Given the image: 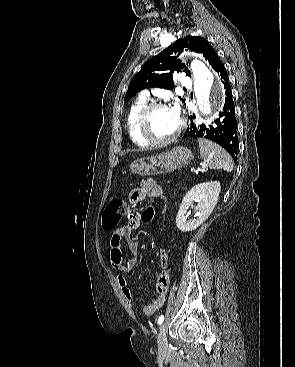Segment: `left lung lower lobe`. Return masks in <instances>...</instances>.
Returning <instances> with one entry per match:
<instances>
[{
    "label": "left lung lower lobe",
    "mask_w": 295,
    "mask_h": 367,
    "mask_svg": "<svg viewBox=\"0 0 295 367\" xmlns=\"http://www.w3.org/2000/svg\"><path fill=\"white\" fill-rule=\"evenodd\" d=\"M213 69L218 73L222 83L224 84L226 95L224 106L222 111L219 113V118L214 121L216 126H210L209 128H206L205 125L202 124L200 128H197L196 125L192 123L190 128H187L183 137L207 138L211 141H214L226 149L236 163L238 136L231 86L229 83L228 74L220 58L216 60ZM194 118L195 115L190 116L191 120Z\"/></svg>",
    "instance_id": "obj_1"
}]
</instances>
